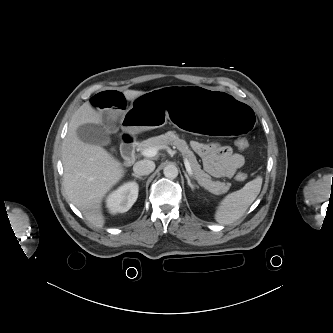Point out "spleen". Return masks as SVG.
I'll use <instances>...</instances> for the list:
<instances>
[{
    "instance_id": "spleen-1",
    "label": "spleen",
    "mask_w": 333,
    "mask_h": 333,
    "mask_svg": "<svg viewBox=\"0 0 333 333\" xmlns=\"http://www.w3.org/2000/svg\"><path fill=\"white\" fill-rule=\"evenodd\" d=\"M263 178L256 177L238 191L226 195L218 204L215 220L223 225L231 224L243 216L261 191Z\"/></svg>"
}]
</instances>
